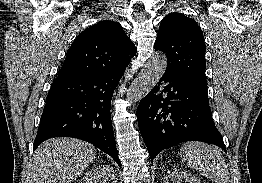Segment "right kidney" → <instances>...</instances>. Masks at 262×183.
Masks as SVG:
<instances>
[{
	"label": "right kidney",
	"mask_w": 262,
	"mask_h": 183,
	"mask_svg": "<svg viewBox=\"0 0 262 183\" xmlns=\"http://www.w3.org/2000/svg\"><path fill=\"white\" fill-rule=\"evenodd\" d=\"M116 183L114 170L110 165H101L85 173L80 183Z\"/></svg>",
	"instance_id": "right-kidney-1"
}]
</instances>
